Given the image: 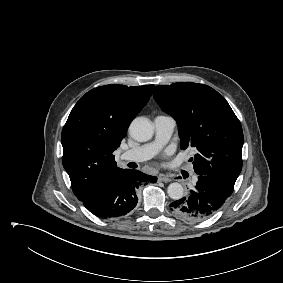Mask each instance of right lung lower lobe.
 Returning a JSON list of instances; mask_svg holds the SVG:
<instances>
[{"label":"right lung lower lobe","mask_w":283,"mask_h":283,"mask_svg":"<svg viewBox=\"0 0 283 283\" xmlns=\"http://www.w3.org/2000/svg\"><path fill=\"white\" fill-rule=\"evenodd\" d=\"M146 181L155 183L157 177L125 169L101 190L83 200V205L101 218L125 216L136 206V190Z\"/></svg>","instance_id":"obj_1"}]
</instances>
